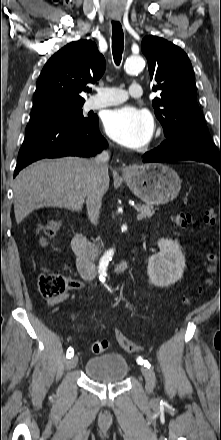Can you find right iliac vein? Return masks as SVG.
<instances>
[{"label":"right iliac vein","instance_id":"obj_1","mask_svg":"<svg viewBox=\"0 0 221 440\" xmlns=\"http://www.w3.org/2000/svg\"><path fill=\"white\" fill-rule=\"evenodd\" d=\"M77 363H78V357L74 356V357L70 358L69 360H67L66 368L71 369V368L75 367Z\"/></svg>","mask_w":221,"mask_h":440}]
</instances>
